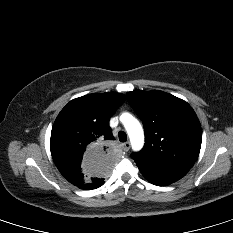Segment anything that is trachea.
I'll list each match as a JSON object with an SVG mask.
<instances>
[{
  "mask_svg": "<svg viewBox=\"0 0 233 233\" xmlns=\"http://www.w3.org/2000/svg\"><path fill=\"white\" fill-rule=\"evenodd\" d=\"M118 136H119V140L121 142H125L127 140V135H126V133L124 131H120Z\"/></svg>",
  "mask_w": 233,
  "mask_h": 233,
  "instance_id": "obj_1",
  "label": "trachea"
}]
</instances>
